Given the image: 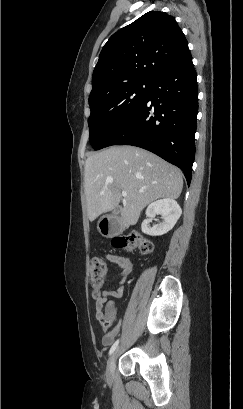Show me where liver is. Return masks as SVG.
Instances as JSON below:
<instances>
[{"mask_svg": "<svg viewBox=\"0 0 243 409\" xmlns=\"http://www.w3.org/2000/svg\"><path fill=\"white\" fill-rule=\"evenodd\" d=\"M84 188L90 221L115 210L122 200L118 213L124 223L134 225L151 202L180 196L183 174L176 166L144 149L112 146L87 158ZM122 191L127 192L123 199Z\"/></svg>", "mask_w": 243, "mask_h": 409, "instance_id": "obj_1", "label": "liver"}]
</instances>
